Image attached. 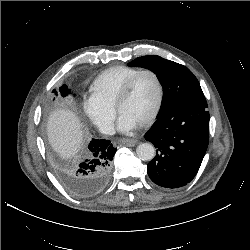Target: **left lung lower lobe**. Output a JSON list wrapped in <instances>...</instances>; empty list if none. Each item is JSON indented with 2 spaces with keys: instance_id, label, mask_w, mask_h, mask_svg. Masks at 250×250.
Here are the masks:
<instances>
[{
  "instance_id": "1",
  "label": "left lung lower lobe",
  "mask_w": 250,
  "mask_h": 250,
  "mask_svg": "<svg viewBox=\"0 0 250 250\" xmlns=\"http://www.w3.org/2000/svg\"><path fill=\"white\" fill-rule=\"evenodd\" d=\"M145 139L157 148L150 179L165 188L185 186L197 174L209 142L205 98L185 102L157 117Z\"/></svg>"
}]
</instances>
